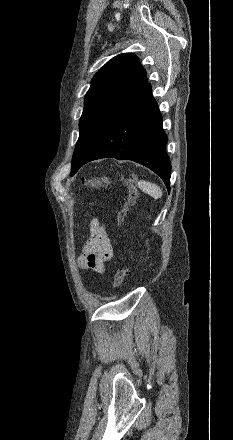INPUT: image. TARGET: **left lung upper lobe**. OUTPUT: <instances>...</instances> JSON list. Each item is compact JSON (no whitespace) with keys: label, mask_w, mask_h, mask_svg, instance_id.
<instances>
[{"label":"left lung upper lobe","mask_w":233,"mask_h":440,"mask_svg":"<svg viewBox=\"0 0 233 440\" xmlns=\"http://www.w3.org/2000/svg\"><path fill=\"white\" fill-rule=\"evenodd\" d=\"M146 85V72L138 57L131 53L112 58L95 74L85 96L71 173L84 162L114 118Z\"/></svg>","instance_id":"left-lung-upper-lobe-1"}]
</instances>
